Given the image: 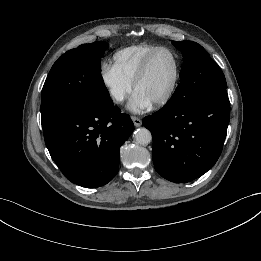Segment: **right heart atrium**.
I'll list each match as a JSON object with an SVG mask.
<instances>
[{
  "instance_id": "obj_1",
  "label": "right heart atrium",
  "mask_w": 261,
  "mask_h": 261,
  "mask_svg": "<svg viewBox=\"0 0 261 261\" xmlns=\"http://www.w3.org/2000/svg\"><path fill=\"white\" fill-rule=\"evenodd\" d=\"M100 80L115 104H122L132 92V83L120 75L112 65H102Z\"/></svg>"
}]
</instances>
